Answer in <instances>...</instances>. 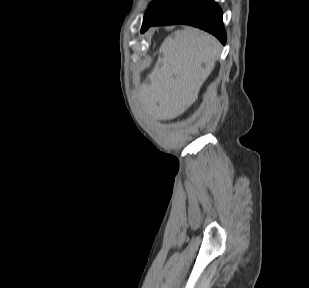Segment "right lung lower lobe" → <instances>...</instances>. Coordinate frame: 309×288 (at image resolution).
Listing matches in <instances>:
<instances>
[{"label":"right lung lower lobe","instance_id":"1","mask_svg":"<svg viewBox=\"0 0 309 288\" xmlns=\"http://www.w3.org/2000/svg\"><path fill=\"white\" fill-rule=\"evenodd\" d=\"M168 24L192 25L212 33L223 44L226 43L222 11L214 0H183L178 6L160 16L150 26ZM150 26L141 29V32L144 33Z\"/></svg>","mask_w":309,"mask_h":288}]
</instances>
